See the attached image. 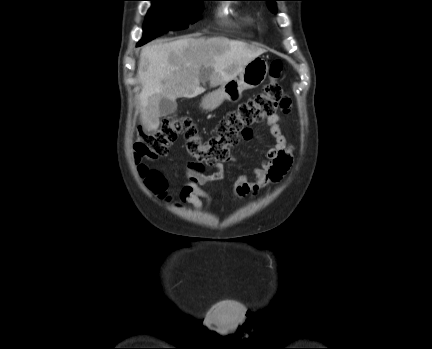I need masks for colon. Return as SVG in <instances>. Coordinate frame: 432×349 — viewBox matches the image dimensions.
<instances>
[{"instance_id": "5ec220e1", "label": "colon", "mask_w": 432, "mask_h": 349, "mask_svg": "<svg viewBox=\"0 0 432 349\" xmlns=\"http://www.w3.org/2000/svg\"><path fill=\"white\" fill-rule=\"evenodd\" d=\"M282 63H271L270 82L263 91L242 103L237 109L228 112L217 124L215 133L208 140H202L195 122L186 116L173 115L165 118L158 130L140 131L134 143V155L138 171L147 186L157 194L163 195L167 189L164 176L150 170L143 160H154L167 154L170 146L182 135L188 155L206 165H215L228 157L229 149L241 139H249L251 126L263 122L276 113L278 107L286 108L289 100L284 96L279 78ZM202 165V164H201Z\"/></svg>"}]
</instances>
